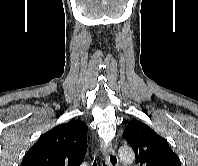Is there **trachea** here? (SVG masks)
Returning a JSON list of instances; mask_svg holds the SVG:
<instances>
[{"instance_id":"3493384b","label":"trachea","mask_w":198,"mask_h":166,"mask_svg":"<svg viewBox=\"0 0 198 166\" xmlns=\"http://www.w3.org/2000/svg\"><path fill=\"white\" fill-rule=\"evenodd\" d=\"M93 166H101V165H98L97 161L95 160L94 163H93ZM102 166H106L104 162H103Z\"/></svg>"}]
</instances>
